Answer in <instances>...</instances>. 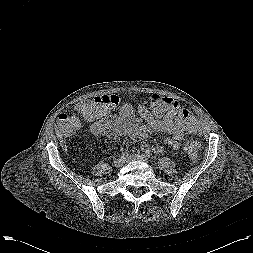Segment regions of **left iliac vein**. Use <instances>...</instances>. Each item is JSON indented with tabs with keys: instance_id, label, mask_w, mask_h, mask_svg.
<instances>
[{
	"instance_id": "4c4485c4",
	"label": "left iliac vein",
	"mask_w": 253,
	"mask_h": 253,
	"mask_svg": "<svg viewBox=\"0 0 253 253\" xmlns=\"http://www.w3.org/2000/svg\"><path fill=\"white\" fill-rule=\"evenodd\" d=\"M132 160H139V161H145L146 159L143 158L142 156L140 155H131L127 158L126 161H132Z\"/></svg>"
}]
</instances>
